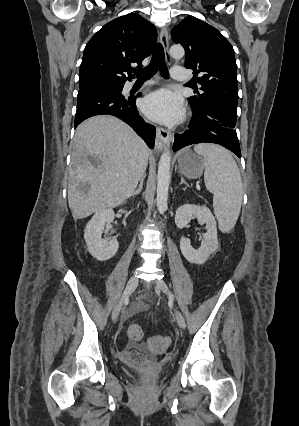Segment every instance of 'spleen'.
I'll return each mask as SVG.
<instances>
[{
    "mask_svg": "<svg viewBox=\"0 0 299 426\" xmlns=\"http://www.w3.org/2000/svg\"><path fill=\"white\" fill-rule=\"evenodd\" d=\"M194 151L203 156L206 188L213 193L214 214L223 232L230 231L238 219L243 185L239 168L232 155L214 144H198Z\"/></svg>",
    "mask_w": 299,
    "mask_h": 426,
    "instance_id": "1",
    "label": "spleen"
}]
</instances>
